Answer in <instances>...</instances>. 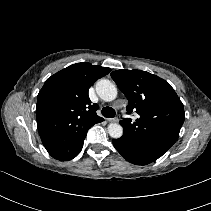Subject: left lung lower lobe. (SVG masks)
Segmentation results:
<instances>
[{
	"label": "left lung lower lobe",
	"mask_w": 211,
	"mask_h": 211,
	"mask_svg": "<svg viewBox=\"0 0 211 211\" xmlns=\"http://www.w3.org/2000/svg\"><path fill=\"white\" fill-rule=\"evenodd\" d=\"M112 142L117 151L130 163L136 165H147L156 160V158L148 155L124 134L118 139H113Z\"/></svg>",
	"instance_id": "1"
}]
</instances>
